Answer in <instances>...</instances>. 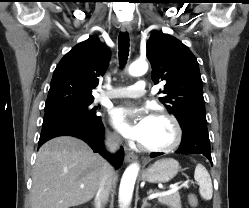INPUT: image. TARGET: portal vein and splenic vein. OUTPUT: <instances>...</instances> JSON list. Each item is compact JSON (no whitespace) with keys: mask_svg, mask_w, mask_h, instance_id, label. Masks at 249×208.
<instances>
[{"mask_svg":"<svg viewBox=\"0 0 249 208\" xmlns=\"http://www.w3.org/2000/svg\"><path fill=\"white\" fill-rule=\"evenodd\" d=\"M83 187L84 186L81 185V188H83ZM179 188L180 187L176 184L171 189H169L167 191L156 192V193H153V194L149 195L148 199L151 200V199H154V198H157V197H160V196H164V195H169V194L175 193L176 191H178Z\"/></svg>","mask_w":249,"mask_h":208,"instance_id":"obj_1","label":"portal vein and splenic vein"}]
</instances>
